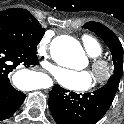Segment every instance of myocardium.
I'll list each match as a JSON object with an SVG mask.
<instances>
[{"instance_id": "myocardium-1", "label": "myocardium", "mask_w": 124, "mask_h": 124, "mask_svg": "<svg viewBox=\"0 0 124 124\" xmlns=\"http://www.w3.org/2000/svg\"><path fill=\"white\" fill-rule=\"evenodd\" d=\"M91 69L94 75L96 84H105L112 76L113 66L105 58L97 56L93 57L91 61Z\"/></svg>"}]
</instances>
